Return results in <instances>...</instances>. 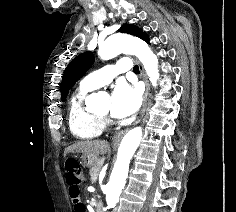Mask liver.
Instances as JSON below:
<instances>
[{
	"label": "liver",
	"mask_w": 236,
	"mask_h": 212,
	"mask_svg": "<svg viewBox=\"0 0 236 212\" xmlns=\"http://www.w3.org/2000/svg\"><path fill=\"white\" fill-rule=\"evenodd\" d=\"M109 150V143L104 140H87L79 141L65 149L64 155L67 153H83L98 157L106 154Z\"/></svg>",
	"instance_id": "6515ba94"
}]
</instances>
